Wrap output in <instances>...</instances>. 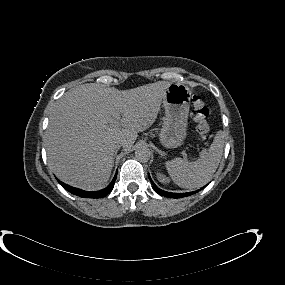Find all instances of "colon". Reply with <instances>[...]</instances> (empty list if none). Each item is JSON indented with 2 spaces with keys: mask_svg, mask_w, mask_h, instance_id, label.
<instances>
[{
  "mask_svg": "<svg viewBox=\"0 0 285 285\" xmlns=\"http://www.w3.org/2000/svg\"><path fill=\"white\" fill-rule=\"evenodd\" d=\"M208 115L209 110L203 98L199 95H194L192 98L191 116L196 123V131L203 140L208 139L210 134Z\"/></svg>",
  "mask_w": 285,
  "mask_h": 285,
  "instance_id": "obj_1",
  "label": "colon"
}]
</instances>
